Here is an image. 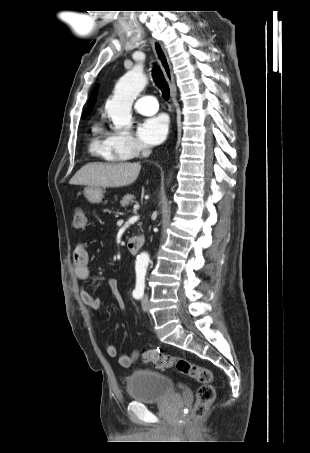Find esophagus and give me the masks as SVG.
Returning <instances> with one entry per match:
<instances>
[{
    "label": "esophagus",
    "mask_w": 310,
    "mask_h": 453,
    "mask_svg": "<svg viewBox=\"0 0 310 453\" xmlns=\"http://www.w3.org/2000/svg\"><path fill=\"white\" fill-rule=\"evenodd\" d=\"M150 42L170 87V95L173 100L176 96V85L171 63L161 43L153 39H151Z\"/></svg>",
    "instance_id": "34e87169"
}]
</instances>
